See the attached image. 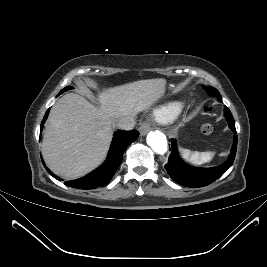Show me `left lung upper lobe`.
I'll list each match as a JSON object with an SVG mask.
<instances>
[{"mask_svg":"<svg viewBox=\"0 0 267 267\" xmlns=\"http://www.w3.org/2000/svg\"><path fill=\"white\" fill-rule=\"evenodd\" d=\"M213 88V87H212ZM212 92V95L211 96H215L217 97L219 100H221V95L220 93L218 92V90H216L215 88H213V90L211 91Z\"/></svg>","mask_w":267,"mask_h":267,"instance_id":"obj_1","label":"left lung upper lobe"}]
</instances>
